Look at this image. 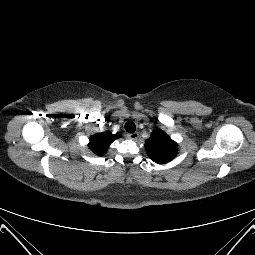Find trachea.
<instances>
[{
  "mask_svg": "<svg viewBox=\"0 0 255 255\" xmlns=\"http://www.w3.org/2000/svg\"><path fill=\"white\" fill-rule=\"evenodd\" d=\"M125 130L128 132V133H134L135 130H136V126L134 124V122L132 121H127L125 123Z\"/></svg>",
  "mask_w": 255,
  "mask_h": 255,
  "instance_id": "trachea-1",
  "label": "trachea"
}]
</instances>
